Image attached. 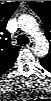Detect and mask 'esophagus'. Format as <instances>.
Here are the masks:
<instances>
[{"mask_svg":"<svg viewBox=\"0 0 51 101\" xmlns=\"http://www.w3.org/2000/svg\"><path fill=\"white\" fill-rule=\"evenodd\" d=\"M34 44H35V43H34L33 41H31V42L27 45V47L31 49V48L34 47Z\"/></svg>","mask_w":51,"mask_h":101,"instance_id":"esophagus-1","label":"esophagus"}]
</instances>
